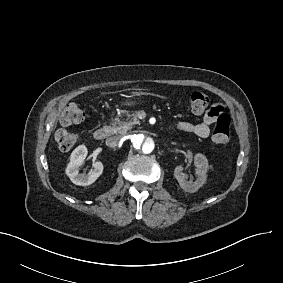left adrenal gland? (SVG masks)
I'll return each mask as SVG.
<instances>
[{"label": "left adrenal gland", "instance_id": "a2214340", "mask_svg": "<svg viewBox=\"0 0 283 283\" xmlns=\"http://www.w3.org/2000/svg\"><path fill=\"white\" fill-rule=\"evenodd\" d=\"M171 144L176 145L177 143L176 142H172Z\"/></svg>", "mask_w": 283, "mask_h": 283}]
</instances>
